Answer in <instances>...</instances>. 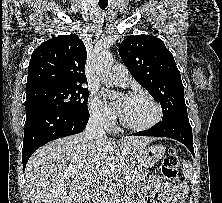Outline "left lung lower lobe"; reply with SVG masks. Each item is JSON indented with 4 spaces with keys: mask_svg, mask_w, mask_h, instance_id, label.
I'll return each instance as SVG.
<instances>
[{
    "mask_svg": "<svg viewBox=\"0 0 222 203\" xmlns=\"http://www.w3.org/2000/svg\"><path fill=\"white\" fill-rule=\"evenodd\" d=\"M138 136L169 137L183 143L194 156L192 128L188 115H172L152 128L134 133Z\"/></svg>",
    "mask_w": 222,
    "mask_h": 203,
    "instance_id": "1",
    "label": "left lung lower lobe"
}]
</instances>
